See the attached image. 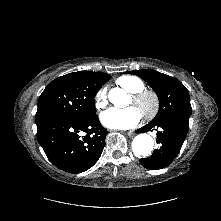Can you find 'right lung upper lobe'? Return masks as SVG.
Listing matches in <instances>:
<instances>
[{
  "mask_svg": "<svg viewBox=\"0 0 221 221\" xmlns=\"http://www.w3.org/2000/svg\"><path fill=\"white\" fill-rule=\"evenodd\" d=\"M71 74L77 76L78 78L84 80L85 82L94 83V84L105 82L111 78L109 74L92 72V71H79Z\"/></svg>",
  "mask_w": 221,
  "mask_h": 221,
  "instance_id": "right-lung-upper-lobe-1",
  "label": "right lung upper lobe"
}]
</instances>
